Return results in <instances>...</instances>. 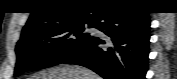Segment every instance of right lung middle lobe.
<instances>
[{
  "instance_id": "dd1d6c3e",
  "label": "right lung middle lobe",
  "mask_w": 177,
  "mask_h": 79,
  "mask_svg": "<svg viewBox=\"0 0 177 79\" xmlns=\"http://www.w3.org/2000/svg\"><path fill=\"white\" fill-rule=\"evenodd\" d=\"M76 21L54 25L21 37L16 46L15 76L32 68H47L60 64L78 45L89 37L84 24Z\"/></svg>"
}]
</instances>
